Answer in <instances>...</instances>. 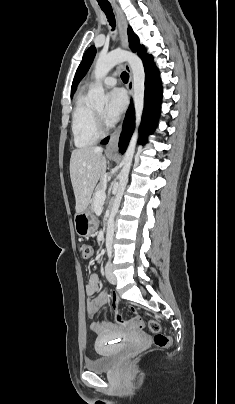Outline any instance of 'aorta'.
<instances>
[{
    "instance_id": "1",
    "label": "aorta",
    "mask_w": 235,
    "mask_h": 404,
    "mask_svg": "<svg viewBox=\"0 0 235 404\" xmlns=\"http://www.w3.org/2000/svg\"><path fill=\"white\" fill-rule=\"evenodd\" d=\"M128 62L133 73V97L135 107V130L129 142L128 148L124 154L122 160V169L119 174V188L115 197L110 217L108 219L106 244L112 245L114 230H115V215L118 212L123 192L128 182V175L132 164L136 142L138 138V128L141 123V117L144 108V91H145V72L141 59L134 53L113 50L107 54H100L96 64L94 75L96 78V85L90 90L89 97L90 103L93 107L102 108L108 102V97L104 93V88L101 84V80L107 75V73L117 64L122 62Z\"/></svg>"
}]
</instances>
